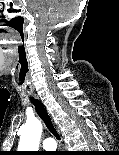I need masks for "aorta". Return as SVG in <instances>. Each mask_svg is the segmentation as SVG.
<instances>
[{
  "label": "aorta",
  "mask_w": 119,
  "mask_h": 155,
  "mask_svg": "<svg viewBox=\"0 0 119 155\" xmlns=\"http://www.w3.org/2000/svg\"><path fill=\"white\" fill-rule=\"evenodd\" d=\"M22 130L18 149L20 151H37L42 133L41 122L37 119L28 121Z\"/></svg>",
  "instance_id": "obj_1"
}]
</instances>
